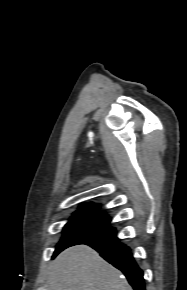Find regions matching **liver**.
<instances>
[{
  "mask_svg": "<svg viewBox=\"0 0 187 290\" xmlns=\"http://www.w3.org/2000/svg\"><path fill=\"white\" fill-rule=\"evenodd\" d=\"M49 290H133L122 273L87 245L60 253L48 273Z\"/></svg>",
  "mask_w": 187,
  "mask_h": 290,
  "instance_id": "6515ba94",
  "label": "liver"
}]
</instances>
